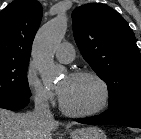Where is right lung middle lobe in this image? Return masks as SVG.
I'll use <instances>...</instances> for the list:
<instances>
[{
	"label": "right lung middle lobe",
	"instance_id": "dd1d6c3e",
	"mask_svg": "<svg viewBox=\"0 0 141 139\" xmlns=\"http://www.w3.org/2000/svg\"><path fill=\"white\" fill-rule=\"evenodd\" d=\"M29 60H0V98H29Z\"/></svg>",
	"mask_w": 141,
	"mask_h": 139
}]
</instances>
